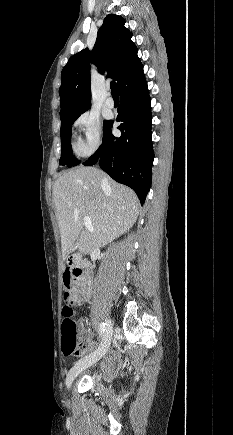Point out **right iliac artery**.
I'll list each match as a JSON object with an SVG mask.
<instances>
[{
  "mask_svg": "<svg viewBox=\"0 0 233 435\" xmlns=\"http://www.w3.org/2000/svg\"><path fill=\"white\" fill-rule=\"evenodd\" d=\"M105 323L104 322H102L101 324H100V326H99V333H100V336H102L103 335V333L105 332Z\"/></svg>",
  "mask_w": 233,
  "mask_h": 435,
  "instance_id": "obj_1",
  "label": "right iliac artery"
}]
</instances>
